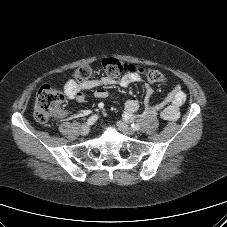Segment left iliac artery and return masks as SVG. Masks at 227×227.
Wrapping results in <instances>:
<instances>
[{
  "label": "left iliac artery",
  "instance_id": "obj_1",
  "mask_svg": "<svg viewBox=\"0 0 227 227\" xmlns=\"http://www.w3.org/2000/svg\"><path fill=\"white\" fill-rule=\"evenodd\" d=\"M131 127H132L134 130H139V128H140L139 124H137V123H132V124H131Z\"/></svg>",
  "mask_w": 227,
  "mask_h": 227
}]
</instances>
